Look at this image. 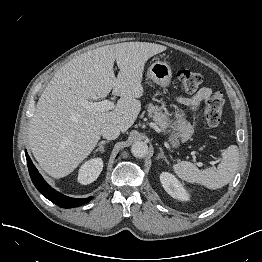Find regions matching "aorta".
I'll list each match as a JSON object with an SVG mask.
<instances>
[{
    "label": "aorta",
    "instance_id": "obj_1",
    "mask_svg": "<svg viewBox=\"0 0 262 262\" xmlns=\"http://www.w3.org/2000/svg\"><path fill=\"white\" fill-rule=\"evenodd\" d=\"M131 152L136 158H143L148 153V146L142 141L134 142L131 147Z\"/></svg>",
    "mask_w": 262,
    "mask_h": 262
}]
</instances>
